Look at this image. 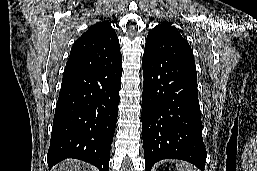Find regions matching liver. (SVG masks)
Returning a JSON list of instances; mask_svg holds the SVG:
<instances>
[{
	"mask_svg": "<svg viewBox=\"0 0 257 171\" xmlns=\"http://www.w3.org/2000/svg\"><path fill=\"white\" fill-rule=\"evenodd\" d=\"M52 171H90V167L78 160H65L57 164Z\"/></svg>",
	"mask_w": 257,
	"mask_h": 171,
	"instance_id": "obj_1",
	"label": "liver"
}]
</instances>
